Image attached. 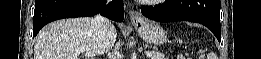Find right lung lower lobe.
Returning a JSON list of instances; mask_svg holds the SVG:
<instances>
[{"label":"right lung lower lobe","instance_id":"right-lung-lower-lobe-1","mask_svg":"<svg viewBox=\"0 0 261 59\" xmlns=\"http://www.w3.org/2000/svg\"><path fill=\"white\" fill-rule=\"evenodd\" d=\"M99 13L111 20L122 22L124 19L122 0H112L108 5L105 0H36L33 37L51 21Z\"/></svg>","mask_w":261,"mask_h":59}]
</instances>
